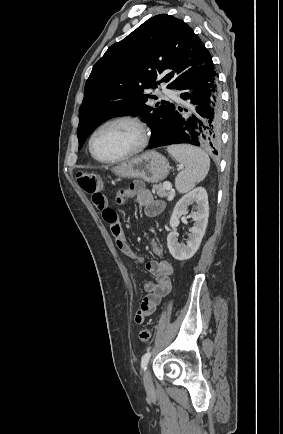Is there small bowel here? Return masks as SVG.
Here are the masks:
<instances>
[{
  "label": "small bowel",
  "mask_w": 283,
  "mask_h": 434,
  "mask_svg": "<svg viewBox=\"0 0 283 434\" xmlns=\"http://www.w3.org/2000/svg\"><path fill=\"white\" fill-rule=\"evenodd\" d=\"M133 198L137 201L139 206L143 208L147 217H156L161 214L165 208L164 203L155 200L151 191L148 190L141 181L131 183L116 198V201L121 202ZM92 202L94 206L102 212L104 221L109 224L118 249L126 256L141 261L142 258L137 255L128 244L119 217L116 211L109 207L106 196L101 192L92 194ZM152 250L158 259L147 262L146 269L154 277V281L144 284L147 294L143 297L140 307L135 313L134 321L137 324L143 323L145 318L155 311L156 306L161 302L162 298L171 290L170 276L173 272V266L164 258L162 250L155 242H152Z\"/></svg>",
  "instance_id": "obj_1"
}]
</instances>
